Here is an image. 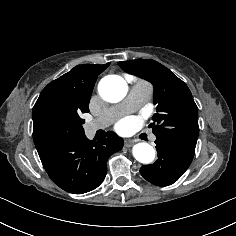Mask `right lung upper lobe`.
I'll list each match as a JSON object with an SVG mask.
<instances>
[{
  "label": "right lung upper lobe",
  "instance_id": "cb5924a9",
  "mask_svg": "<svg viewBox=\"0 0 236 236\" xmlns=\"http://www.w3.org/2000/svg\"><path fill=\"white\" fill-rule=\"evenodd\" d=\"M109 64L78 65L49 83L42 90L33 107V126L46 112H72L87 109L97 76Z\"/></svg>",
  "mask_w": 236,
  "mask_h": 236
}]
</instances>
